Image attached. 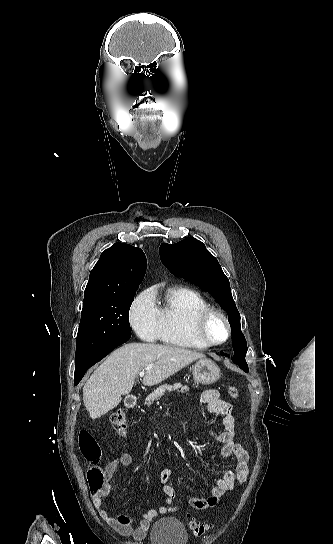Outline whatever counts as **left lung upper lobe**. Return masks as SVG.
I'll list each match as a JSON object with an SVG mask.
<instances>
[{
    "label": "left lung upper lobe",
    "mask_w": 333,
    "mask_h": 544,
    "mask_svg": "<svg viewBox=\"0 0 333 544\" xmlns=\"http://www.w3.org/2000/svg\"><path fill=\"white\" fill-rule=\"evenodd\" d=\"M162 263L175 276L183 277L201 289L209 292L228 312L233 332L232 358L240 368L248 369L245 361L246 340L240 329V314L231 294L229 280L223 273L217 259L199 240L188 237L177 244L166 243L160 246Z\"/></svg>",
    "instance_id": "1"
}]
</instances>
